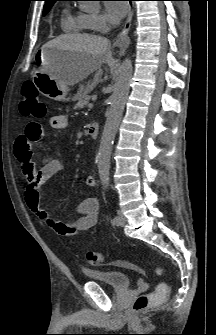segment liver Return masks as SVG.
I'll use <instances>...</instances> for the list:
<instances>
[{
	"instance_id": "6515ba94",
	"label": "liver",
	"mask_w": 216,
	"mask_h": 335,
	"mask_svg": "<svg viewBox=\"0 0 216 335\" xmlns=\"http://www.w3.org/2000/svg\"><path fill=\"white\" fill-rule=\"evenodd\" d=\"M108 45V39L101 36L68 34L61 35L44 46L77 53L69 66L63 72L55 75L67 85H74L99 70L103 63L111 62V56L106 52Z\"/></svg>"
}]
</instances>
